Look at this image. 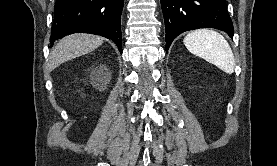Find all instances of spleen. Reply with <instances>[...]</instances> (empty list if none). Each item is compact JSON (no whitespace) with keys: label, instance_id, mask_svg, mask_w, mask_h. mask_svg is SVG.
<instances>
[{"label":"spleen","instance_id":"obj_1","mask_svg":"<svg viewBox=\"0 0 277 166\" xmlns=\"http://www.w3.org/2000/svg\"><path fill=\"white\" fill-rule=\"evenodd\" d=\"M183 42L192 54L205 59L225 73L234 72L235 59L232 49L220 33L210 29H198L188 33Z\"/></svg>","mask_w":277,"mask_h":166}]
</instances>
